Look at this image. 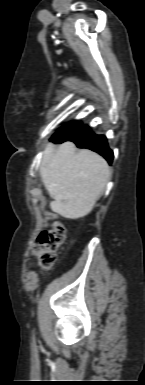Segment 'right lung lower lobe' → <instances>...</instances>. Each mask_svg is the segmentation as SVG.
Segmentation results:
<instances>
[{"mask_svg":"<svg viewBox=\"0 0 145 385\" xmlns=\"http://www.w3.org/2000/svg\"><path fill=\"white\" fill-rule=\"evenodd\" d=\"M52 141L55 143L72 141L77 147L93 150L102 155L109 164L112 163L113 152L108 147L106 137L94 134L89 127L81 126V122H76L69 129L54 135Z\"/></svg>","mask_w":145,"mask_h":385,"instance_id":"right-lung-lower-lobe-1","label":"right lung lower lobe"}]
</instances>
